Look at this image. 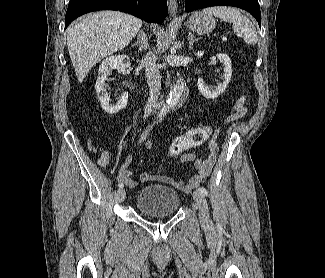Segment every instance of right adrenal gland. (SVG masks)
Listing matches in <instances>:
<instances>
[{
    "instance_id": "1",
    "label": "right adrenal gland",
    "mask_w": 325,
    "mask_h": 278,
    "mask_svg": "<svg viewBox=\"0 0 325 278\" xmlns=\"http://www.w3.org/2000/svg\"><path fill=\"white\" fill-rule=\"evenodd\" d=\"M133 46H138L141 52L147 49L148 41L143 30L139 32L137 42L134 43Z\"/></svg>"
}]
</instances>
